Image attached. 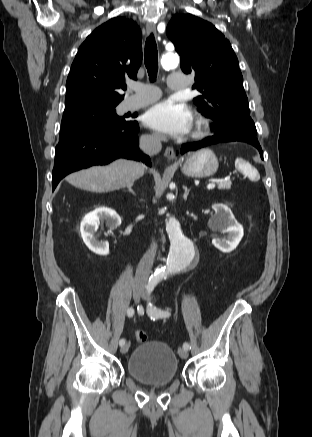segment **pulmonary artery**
<instances>
[{"label":"pulmonary artery","instance_id":"pulmonary-artery-1","mask_svg":"<svg viewBox=\"0 0 312 437\" xmlns=\"http://www.w3.org/2000/svg\"><path fill=\"white\" fill-rule=\"evenodd\" d=\"M188 85V79L184 74L173 73L168 78V86L171 89H185ZM149 88V89H144ZM161 96L159 89L155 87L142 86L141 89L137 91V94L129 99L127 103V109L135 110L144 107L150 103L155 102Z\"/></svg>","mask_w":312,"mask_h":437}]
</instances>
